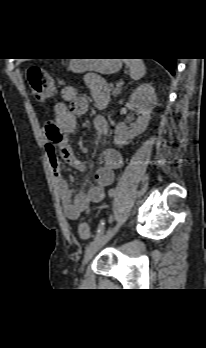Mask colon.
I'll return each instance as SVG.
<instances>
[{
	"instance_id": "1",
	"label": "colon",
	"mask_w": 206,
	"mask_h": 348,
	"mask_svg": "<svg viewBox=\"0 0 206 348\" xmlns=\"http://www.w3.org/2000/svg\"><path fill=\"white\" fill-rule=\"evenodd\" d=\"M26 79L30 91L34 98L45 100L49 98L54 91V82L44 69L38 66H32L26 71ZM49 122H47L46 126ZM77 232L80 238L87 240L91 237V228L88 223L82 222L77 226Z\"/></svg>"
}]
</instances>
